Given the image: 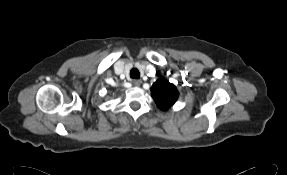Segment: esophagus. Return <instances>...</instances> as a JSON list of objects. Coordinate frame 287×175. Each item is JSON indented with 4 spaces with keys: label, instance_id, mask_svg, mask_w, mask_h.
Wrapping results in <instances>:
<instances>
[{
    "label": "esophagus",
    "instance_id": "obj_1",
    "mask_svg": "<svg viewBox=\"0 0 287 175\" xmlns=\"http://www.w3.org/2000/svg\"><path fill=\"white\" fill-rule=\"evenodd\" d=\"M142 83V81L141 80H138V79H135V80H133V84H134V86H140V84Z\"/></svg>",
    "mask_w": 287,
    "mask_h": 175
}]
</instances>
